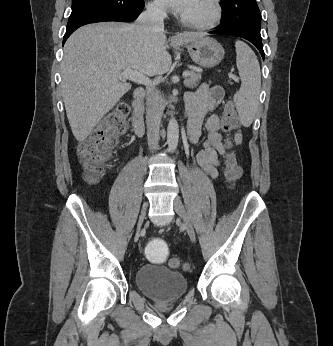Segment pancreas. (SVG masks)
<instances>
[{
  "label": "pancreas",
  "instance_id": "1",
  "mask_svg": "<svg viewBox=\"0 0 333 346\" xmlns=\"http://www.w3.org/2000/svg\"><path fill=\"white\" fill-rule=\"evenodd\" d=\"M201 80V73L198 71H189V78L184 81V85L188 88H195Z\"/></svg>",
  "mask_w": 333,
  "mask_h": 346
}]
</instances>
